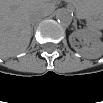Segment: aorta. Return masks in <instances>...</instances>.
<instances>
[{
	"mask_svg": "<svg viewBox=\"0 0 103 103\" xmlns=\"http://www.w3.org/2000/svg\"><path fill=\"white\" fill-rule=\"evenodd\" d=\"M56 20L61 25L68 26L72 21V14L70 10L66 8L58 9L56 12Z\"/></svg>",
	"mask_w": 103,
	"mask_h": 103,
	"instance_id": "obj_1",
	"label": "aorta"
}]
</instances>
